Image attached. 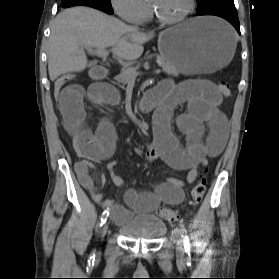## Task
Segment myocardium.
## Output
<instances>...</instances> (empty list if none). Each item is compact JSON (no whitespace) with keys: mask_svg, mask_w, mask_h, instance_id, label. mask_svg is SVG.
Masks as SVG:
<instances>
[{"mask_svg":"<svg viewBox=\"0 0 279 279\" xmlns=\"http://www.w3.org/2000/svg\"><path fill=\"white\" fill-rule=\"evenodd\" d=\"M195 5H196L195 0H189L188 8L181 15H179L178 17H175V18H165L162 15H160V13L157 11V9L151 3H149L150 10H151L153 17L159 23H162L165 25H175V24H178V23L186 20L193 13V11L195 9Z\"/></svg>","mask_w":279,"mask_h":279,"instance_id":"obj_1","label":"myocardium"}]
</instances>
